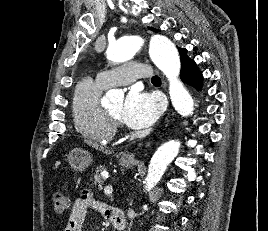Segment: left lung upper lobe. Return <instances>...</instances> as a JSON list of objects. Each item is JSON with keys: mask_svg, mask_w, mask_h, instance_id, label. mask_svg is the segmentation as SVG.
Returning <instances> with one entry per match:
<instances>
[{"mask_svg": "<svg viewBox=\"0 0 268 231\" xmlns=\"http://www.w3.org/2000/svg\"><path fill=\"white\" fill-rule=\"evenodd\" d=\"M149 29H151L154 32H158L157 29L150 28V27H149ZM178 49H179V52H180V59H181V63H182L186 58H189V57L187 56V50L186 49H184V48H178Z\"/></svg>", "mask_w": 268, "mask_h": 231, "instance_id": "1", "label": "left lung upper lobe"}]
</instances>
